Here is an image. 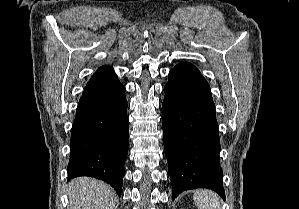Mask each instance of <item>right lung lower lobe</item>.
<instances>
[{"label": "right lung lower lobe", "mask_w": 299, "mask_h": 209, "mask_svg": "<svg viewBox=\"0 0 299 209\" xmlns=\"http://www.w3.org/2000/svg\"><path fill=\"white\" fill-rule=\"evenodd\" d=\"M128 102L114 71L98 69L79 100L72 126L68 180L90 176L121 196L128 153Z\"/></svg>", "instance_id": "98d812e1"}]
</instances>
